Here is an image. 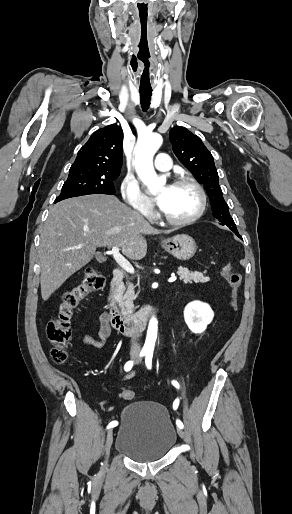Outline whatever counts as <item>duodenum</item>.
<instances>
[{
	"label": "duodenum",
	"instance_id": "410a0bca",
	"mask_svg": "<svg viewBox=\"0 0 292 514\" xmlns=\"http://www.w3.org/2000/svg\"><path fill=\"white\" fill-rule=\"evenodd\" d=\"M124 271L116 268L110 285V293L107 300V314L109 323L120 334H132L140 331L146 324L147 319L153 312L152 305H146L132 316H123L120 313L117 294L124 280Z\"/></svg>",
	"mask_w": 292,
	"mask_h": 514
}]
</instances>
